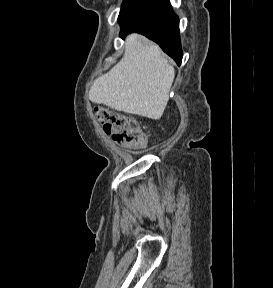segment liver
<instances>
[{
    "label": "liver",
    "instance_id": "obj_1",
    "mask_svg": "<svg viewBox=\"0 0 273 288\" xmlns=\"http://www.w3.org/2000/svg\"><path fill=\"white\" fill-rule=\"evenodd\" d=\"M175 70L158 45L131 34L123 58L97 78L89 99L116 111L158 120L169 100Z\"/></svg>",
    "mask_w": 273,
    "mask_h": 288
}]
</instances>
